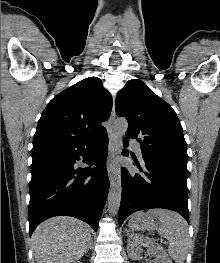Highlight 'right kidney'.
Wrapping results in <instances>:
<instances>
[{
	"label": "right kidney",
	"instance_id": "obj_1",
	"mask_svg": "<svg viewBox=\"0 0 220 263\" xmlns=\"http://www.w3.org/2000/svg\"><path fill=\"white\" fill-rule=\"evenodd\" d=\"M73 263H82V262H80V261H77V262H73Z\"/></svg>",
	"mask_w": 220,
	"mask_h": 263
}]
</instances>
